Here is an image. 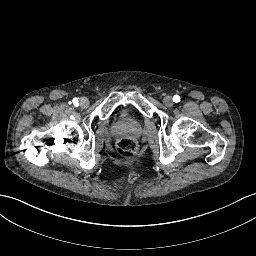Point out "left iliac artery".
<instances>
[{"mask_svg":"<svg viewBox=\"0 0 256 256\" xmlns=\"http://www.w3.org/2000/svg\"><path fill=\"white\" fill-rule=\"evenodd\" d=\"M173 101H174L175 103H178V102L180 101V96L174 95Z\"/></svg>","mask_w":256,"mask_h":256,"instance_id":"left-iliac-artery-1","label":"left iliac artery"}]
</instances>
